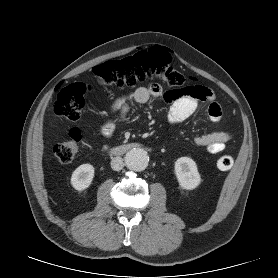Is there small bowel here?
<instances>
[{
  "instance_id": "c3829d8e",
  "label": "small bowel",
  "mask_w": 278,
  "mask_h": 278,
  "mask_svg": "<svg viewBox=\"0 0 278 278\" xmlns=\"http://www.w3.org/2000/svg\"><path fill=\"white\" fill-rule=\"evenodd\" d=\"M200 89L199 95L188 93L172 96V92L164 93L162 87L157 83H152L148 87H138L129 94L121 96L115 100L111 107L112 113H118L121 119H125L130 110V104H145L152 97H164L171 102L169 110V122L172 125H179L187 120L197 109L200 101H207L208 116L213 122L222 119L223 112L220 104L216 101L213 92L205 86L196 85ZM114 132V123L108 120L101 128V134L108 139ZM231 139L228 131L213 132L200 135L194 138V144L204 147L209 153L216 154L225 149L226 143Z\"/></svg>"
}]
</instances>
